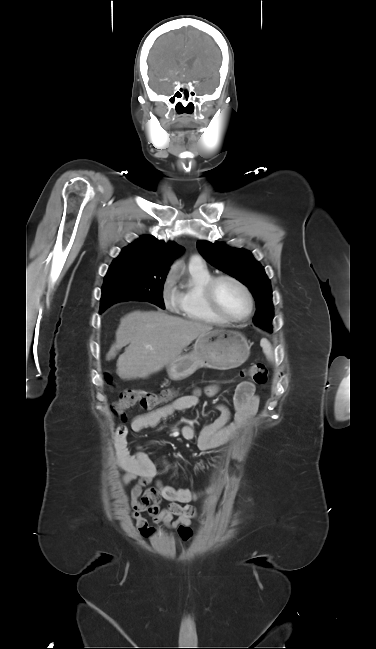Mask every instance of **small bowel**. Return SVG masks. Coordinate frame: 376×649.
I'll use <instances>...</instances> for the list:
<instances>
[{
    "mask_svg": "<svg viewBox=\"0 0 376 649\" xmlns=\"http://www.w3.org/2000/svg\"><path fill=\"white\" fill-rule=\"evenodd\" d=\"M218 389L217 384L209 385L205 388V394L214 396ZM199 397L200 390H195L191 395L177 398L161 408L135 416L131 421L130 428L121 425L115 431V453L117 462L123 471L121 482L125 486L135 482L130 491L131 516L136 520L137 531L144 537L159 535L157 530L143 517V513H147L153 523L164 524L169 529H175L182 539H189L191 537L190 525L192 520L197 517V512L188 503L197 500L201 492L155 481L156 465L149 456L141 449L133 454L128 450L129 429L133 432H141L147 428H154L176 412L195 407L199 403ZM259 401L254 384L249 381L241 382L234 395V413L226 405L218 404L216 408L220 414L201 430L197 438V447L202 451L219 450L215 460L217 462L225 460L230 455V450L225 446L236 438L245 424L255 416ZM180 435L186 440L194 439V426L191 424L183 426ZM168 465L165 463V466ZM153 481H155V486L147 487ZM213 490L215 487L209 486L205 491ZM162 500L169 502L166 509L160 508ZM213 502V499L210 500L207 506L210 507Z\"/></svg>",
    "mask_w": 376,
    "mask_h": 649,
    "instance_id": "c3829d8e",
    "label": "small bowel"
}]
</instances>
